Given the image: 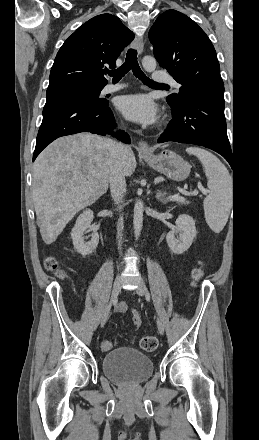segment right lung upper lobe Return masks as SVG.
Returning a JSON list of instances; mask_svg holds the SVG:
<instances>
[{
  "instance_id": "1",
  "label": "right lung upper lobe",
  "mask_w": 259,
  "mask_h": 440,
  "mask_svg": "<svg viewBox=\"0 0 259 440\" xmlns=\"http://www.w3.org/2000/svg\"><path fill=\"white\" fill-rule=\"evenodd\" d=\"M134 34L111 14L93 17L70 35L51 68L47 94L76 87L103 88V68L116 59Z\"/></svg>"
}]
</instances>
